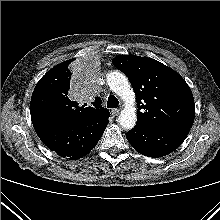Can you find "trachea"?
Segmentation results:
<instances>
[{
  "label": "trachea",
  "instance_id": "obj_1",
  "mask_svg": "<svg viewBox=\"0 0 220 220\" xmlns=\"http://www.w3.org/2000/svg\"><path fill=\"white\" fill-rule=\"evenodd\" d=\"M119 106L118 99L114 95H110L107 100L108 108H117Z\"/></svg>",
  "mask_w": 220,
  "mask_h": 220
}]
</instances>
